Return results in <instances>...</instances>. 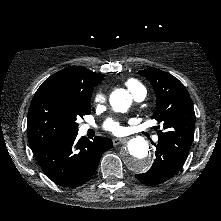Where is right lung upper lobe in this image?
I'll use <instances>...</instances> for the list:
<instances>
[{
    "instance_id": "1",
    "label": "right lung upper lobe",
    "mask_w": 221,
    "mask_h": 221,
    "mask_svg": "<svg viewBox=\"0 0 221 221\" xmlns=\"http://www.w3.org/2000/svg\"><path fill=\"white\" fill-rule=\"evenodd\" d=\"M104 77L105 75L92 72L85 67L70 66L50 76L42 83L36 93L47 89H73L86 93L93 90Z\"/></svg>"
}]
</instances>
